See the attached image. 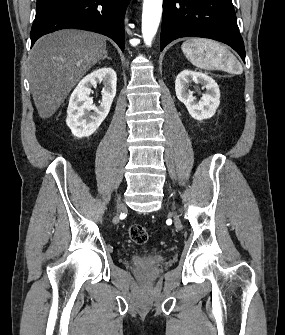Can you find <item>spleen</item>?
<instances>
[{"mask_svg":"<svg viewBox=\"0 0 285 335\" xmlns=\"http://www.w3.org/2000/svg\"><path fill=\"white\" fill-rule=\"evenodd\" d=\"M181 50L193 66L202 70H225V68L233 70L237 62L225 46L205 38H188L182 44ZM242 72V66L239 64V74Z\"/></svg>","mask_w":285,"mask_h":335,"instance_id":"obj_1","label":"spleen"}]
</instances>
